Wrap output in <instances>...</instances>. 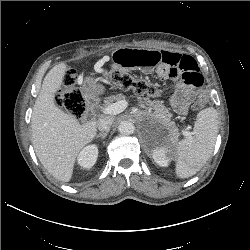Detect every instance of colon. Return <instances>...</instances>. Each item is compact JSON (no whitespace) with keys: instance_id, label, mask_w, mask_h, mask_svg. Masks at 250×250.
<instances>
[{"instance_id":"colon-1","label":"colon","mask_w":250,"mask_h":250,"mask_svg":"<svg viewBox=\"0 0 250 250\" xmlns=\"http://www.w3.org/2000/svg\"><path fill=\"white\" fill-rule=\"evenodd\" d=\"M106 81L113 87L132 90L137 94L158 96L161 90L153 83L143 79H136L128 74L119 71L109 70L105 72ZM75 74L73 71H66L63 76L62 86L56 95L57 104L75 117H81L86 112L85 100L79 90L74 88ZM209 103V96L202 91L193 104L195 111H200Z\"/></svg>"}]
</instances>
